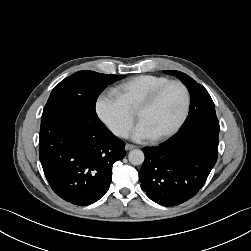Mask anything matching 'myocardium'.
Here are the masks:
<instances>
[{"mask_svg": "<svg viewBox=\"0 0 251 251\" xmlns=\"http://www.w3.org/2000/svg\"><path fill=\"white\" fill-rule=\"evenodd\" d=\"M171 85H178L182 88L183 92H184V107L182 110V113L178 119V121L176 122V124L167 132L155 136L152 139L154 141H165L171 137H173L183 126V124L185 123L188 114H189V110H190V103H191V98H190V92L188 87L180 80H169L167 82H165L164 84H162L161 86H159L158 88H156L137 108L136 110V117L138 119L139 114L149 108H151L152 106L155 105V103L159 100V98L161 97V95L163 94V92Z\"/></svg>", "mask_w": 251, "mask_h": 251, "instance_id": "f54148a6", "label": "myocardium"}]
</instances>
